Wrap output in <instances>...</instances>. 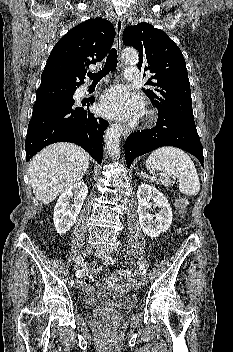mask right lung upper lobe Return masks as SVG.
<instances>
[{"label": "right lung upper lobe", "instance_id": "cb5924a9", "mask_svg": "<svg viewBox=\"0 0 233 352\" xmlns=\"http://www.w3.org/2000/svg\"><path fill=\"white\" fill-rule=\"evenodd\" d=\"M115 29L102 18L89 19L72 28L52 49L41 75L40 87L84 83L90 64L101 61L113 44Z\"/></svg>", "mask_w": 233, "mask_h": 352}]
</instances>
